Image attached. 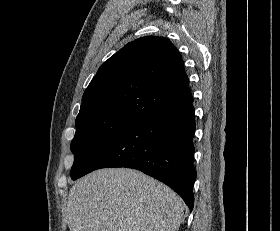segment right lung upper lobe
I'll use <instances>...</instances> for the list:
<instances>
[{
	"label": "right lung upper lobe",
	"instance_id": "cb5924a9",
	"mask_svg": "<svg viewBox=\"0 0 280 231\" xmlns=\"http://www.w3.org/2000/svg\"><path fill=\"white\" fill-rule=\"evenodd\" d=\"M183 64L167 38L147 36L128 43L101 65L83 94L76 120H142L162 108L192 100Z\"/></svg>",
	"mask_w": 280,
	"mask_h": 231
}]
</instances>
